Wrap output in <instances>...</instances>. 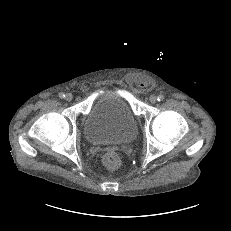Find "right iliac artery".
<instances>
[{
    "label": "right iliac artery",
    "instance_id": "obj_1",
    "mask_svg": "<svg viewBox=\"0 0 231 231\" xmlns=\"http://www.w3.org/2000/svg\"><path fill=\"white\" fill-rule=\"evenodd\" d=\"M59 97H60L61 99H63V98H65V94H64V93H59Z\"/></svg>",
    "mask_w": 231,
    "mask_h": 231
}]
</instances>
